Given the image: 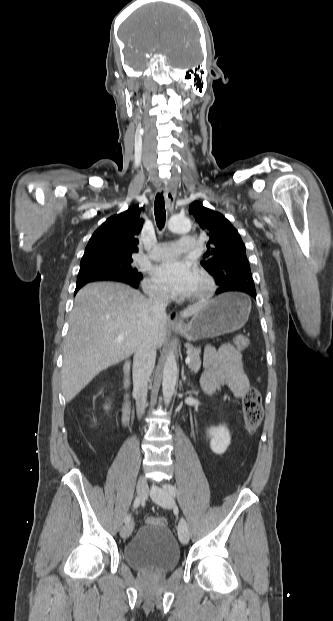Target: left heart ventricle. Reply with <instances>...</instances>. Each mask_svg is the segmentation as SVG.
Segmentation results:
<instances>
[{
  "label": "left heart ventricle",
  "instance_id": "1",
  "mask_svg": "<svg viewBox=\"0 0 333 621\" xmlns=\"http://www.w3.org/2000/svg\"><path fill=\"white\" fill-rule=\"evenodd\" d=\"M203 288H204V282L200 278V276L197 274V277L195 278L191 288L189 289V291L185 295L188 296V295L196 294V293L200 292Z\"/></svg>",
  "mask_w": 333,
  "mask_h": 621
}]
</instances>
